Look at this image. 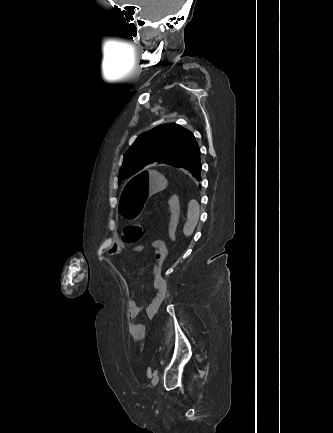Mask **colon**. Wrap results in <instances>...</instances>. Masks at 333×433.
Returning <instances> with one entry per match:
<instances>
[{"mask_svg": "<svg viewBox=\"0 0 333 433\" xmlns=\"http://www.w3.org/2000/svg\"><path fill=\"white\" fill-rule=\"evenodd\" d=\"M169 204L171 207V217H170V223H169V231H170V238L171 240H174L175 238V232H176V226L178 223L179 218V212H178V200L175 196H171L169 198ZM142 228L138 224H128L125 227H123L121 231V239L124 244L126 245H134L140 241L142 238ZM145 336L142 337V340H144Z\"/></svg>", "mask_w": 333, "mask_h": 433, "instance_id": "obj_1", "label": "colon"}]
</instances>
